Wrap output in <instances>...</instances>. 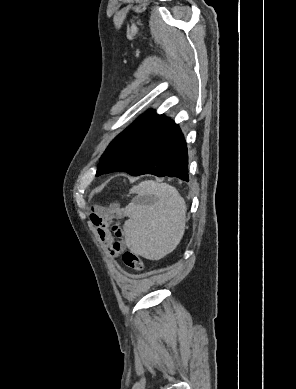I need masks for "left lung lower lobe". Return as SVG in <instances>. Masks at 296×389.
Wrapping results in <instances>:
<instances>
[{"label": "left lung lower lobe", "mask_w": 296, "mask_h": 389, "mask_svg": "<svg viewBox=\"0 0 296 389\" xmlns=\"http://www.w3.org/2000/svg\"><path fill=\"white\" fill-rule=\"evenodd\" d=\"M110 172L177 177L188 182L187 146L179 126L148 110L120 133L102 155L97 176Z\"/></svg>", "instance_id": "0a47b994"}]
</instances>
